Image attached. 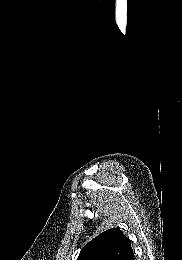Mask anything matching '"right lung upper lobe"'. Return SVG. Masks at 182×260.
<instances>
[{
  "label": "right lung upper lobe",
  "instance_id": "right-lung-upper-lobe-1",
  "mask_svg": "<svg viewBox=\"0 0 182 260\" xmlns=\"http://www.w3.org/2000/svg\"><path fill=\"white\" fill-rule=\"evenodd\" d=\"M77 260H134V253L122 231L112 228L87 243Z\"/></svg>",
  "mask_w": 182,
  "mask_h": 260
}]
</instances>
